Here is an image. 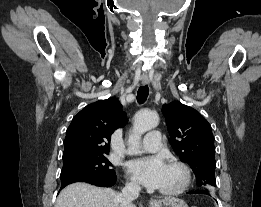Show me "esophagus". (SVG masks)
<instances>
[{"label": "esophagus", "mask_w": 261, "mask_h": 207, "mask_svg": "<svg viewBox=\"0 0 261 207\" xmlns=\"http://www.w3.org/2000/svg\"><path fill=\"white\" fill-rule=\"evenodd\" d=\"M149 83V77L148 76H143L142 77V84L146 85ZM150 203H153V201L151 200Z\"/></svg>", "instance_id": "esophagus-1"}]
</instances>
